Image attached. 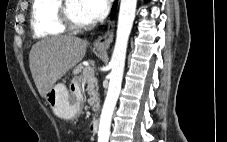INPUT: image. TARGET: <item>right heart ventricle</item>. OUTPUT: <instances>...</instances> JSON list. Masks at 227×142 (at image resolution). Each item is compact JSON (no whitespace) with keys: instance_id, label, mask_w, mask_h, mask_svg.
Listing matches in <instances>:
<instances>
[{"instance_id":"obj_1","label":"right heart ventricle","mask_w":227,"mask_h":142,"mask_svg":"<svg viewBox=\"0 0 227 142\" xmlns=\"http://www.w3.org/2000/svg\"><path fill=\"white\" fill-rule=\"evenodd\" d=\"M61 0H33L31 28L36 38H48L65 34L68 30L59 20Z\"/></svg>"}]
</instances>
